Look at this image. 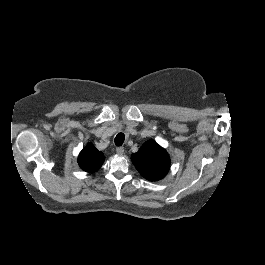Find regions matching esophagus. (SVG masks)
Masks as SVG:
<instances>
[{
	"mask_svg": "<svg viewBox=\"0 0 265 265\" xmlns=\"http://www.w3.org/2000/svg\"><path fill=\"white\" fill-rule=\"evenodd\" d=\"M116 152H117L118 155H123V153H124V148L121 147V146H119V147L116 148Z\"/></svg>",
	"mask_w": 265,
	"mask_h": 265,
	"instance_id": "1",
	"label": "esophagus"
}]
</instances>
